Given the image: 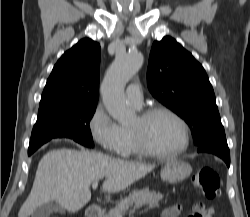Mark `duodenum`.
<instances>
[{
  "mask_svg": "<svg viewBox=\"0 0 250 217\" xmlns=\"http://www.w3.org/2000/svg\"><path fill=\"white\" fill-rule=\"evenodd\" d=\"M102 211L97 205H90L86 209V217H101Z\"/></svg>",
  "mask_w": 250,
  "mask_h": 217,
  "instance_id": "1",
  "label": "duodenum"
}]
</instances>
